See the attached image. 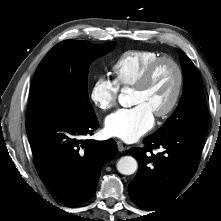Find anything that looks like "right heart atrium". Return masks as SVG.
Returning a JSON list of instances; mask_svg holds the SVG:
<instances>
[{
  "instance_id": "1",
  "label": "right heart atrium",
  "mask_w": 221,
  "mask_h": 221,
  "mask_svg": "<svg viewBox=\"0 0 221 221\" xmlns=\"http://www.w3.org/2000/svg\"><path fill=\"white\" fill-rule=\"evenodd\" d=\"M119 88L116 83L105 76L98 77L90 89V101L100 111H108L115 107Z\"/></svg>"
}]
</instances>
